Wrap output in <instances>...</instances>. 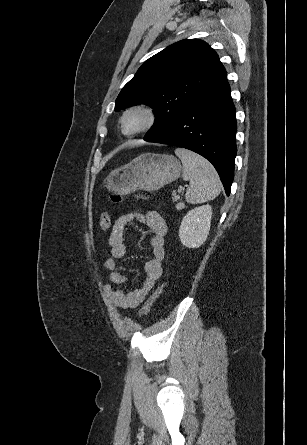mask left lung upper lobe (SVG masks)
I'll return each instance as SVG.
<instances>
[{
	"label": "left lung upper lobe",
	"instance_id": "5c2ea615",
	"mask_svg": "<svg viewBox=\"0 0 307 445\" xmlns=\"http://www.w3.org/2000/svg\"><path fill=\"white\" fill-rule=\"evenodd\" d=\"M225 79V68L206 42L182 40L143 63L118 95L116 111L138 104L152 107L156 119L145 140L164 130Z\"/></svg>",
	"mask_w": 307,
	"mask_h": 445
}]
</instances>
